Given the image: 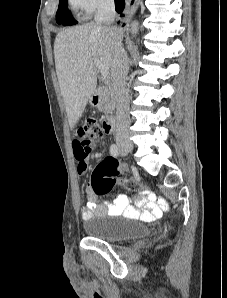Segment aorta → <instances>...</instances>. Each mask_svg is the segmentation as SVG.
<instances>
[{
  "mask_svg": "<svg viewBox=\"0 0 227 298\" xmlns=\"http://www.w3.org/2000/svg\"><path fill=\"white\" fill-rule=\"evenodd\" d=\"M139 30V23L137 21H133L131 23V33L133 36H136Z\"/></svg>",
  "mask_w": 227,
  "mask_h": 298,
  "instance_id": "obj_1",
  "label": "aorta"
}]
</instances>
